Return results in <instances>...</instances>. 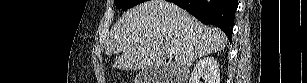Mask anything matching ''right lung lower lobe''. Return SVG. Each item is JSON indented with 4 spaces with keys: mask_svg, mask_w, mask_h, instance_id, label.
Wrapping results in <instances>:
<instances>
[{
    "mask_svg": "<svg viewBox=\"0 0 307 83\" xmlns=\"http://www.w3.org/2000/svg\"><path fill=\"white\" fill-rule=\"evenodd\" d=\"M203 24L219 27L231 40L238 0H172Z\"/></svg>",
    "mask_w": 307,
    "mask_h": 83,
    "instance_id": "obj_1",
    "label": "right lung lower lobe"
}]
</instances>
